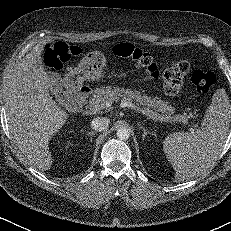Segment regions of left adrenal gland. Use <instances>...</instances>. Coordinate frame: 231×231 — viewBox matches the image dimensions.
I'll list each match as a JSON object with an SVG mask.
<instances>
[{"label":"left adrenal gland","instance_id":"left-adrenal-gland-1","mask_svg":"<svg viewBox=\"0 0 231 231\" xmlns=\"http://www.w3.org/2000/svg\"><path fill=\"white\" fill-rule=\"evenodd\" d=\"M138 126L140 129H142L143 131V134H142V137L143 139H145L146 135L147 134H153L152 132H149L144 126H142L140 123H138Z\"/></svg>","mask_w":231,"mask_h":231}]
</instances>
